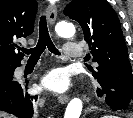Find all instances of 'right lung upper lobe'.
Here are the masks:
<instances>
[{"mask_svg": "<svg viewBox=\"0 0 133 118\" xmlns=\"http://www.w3.org/2000/svg\"><path fill=\"white\" fill-rule=\"evenodd\" d=\"M36 11L35 0H0V66L20 64L24 54L16 42L33 33Z\"/></svg>", "mask_w": 133, "mask_h": 118, "instance_id": "obj_1", "label": "right lung upper lobe"}]
</instances>
